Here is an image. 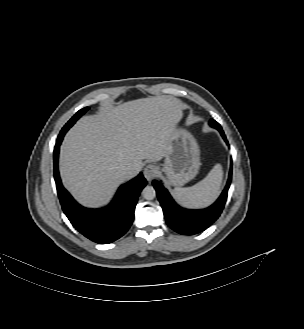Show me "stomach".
<instances>
[{"label": "stomach", "mask_w": 304, "mask_h": 329, "mask_svg": "<svg viewBox=\"0 0 304 329\" xmlns=\"http://www.w3.org/2000/svg\"><path fill=\"white\" fill-rule=\"evenodd\" d=\"M200 165V151L195 138L184 129H176L162 168L168 182L174 186L186 184L197 175Z\"/></svg>", "instance_id": "stomach-1"}]
</instances>
